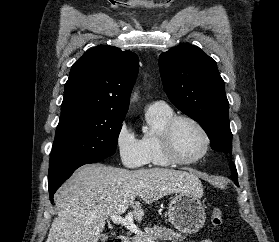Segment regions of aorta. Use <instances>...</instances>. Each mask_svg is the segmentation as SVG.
I'll return each mask as SVG.
<instances>
[{"label": "aorta", "mask_w": 279, "mask_h": 242, "mask_svg": "<svg viewBox=\"0 0 279 242\" xmlns=\"http://www.w3.org/2000/svg\"><path fill=\"white\" fill-rule=\"evenodd\" d=\"M142 131H143L144 133H146V132L148 131V128H147V127H143Z\"/></svg>", "instance_id": "aorta-1"}]
</instances>
